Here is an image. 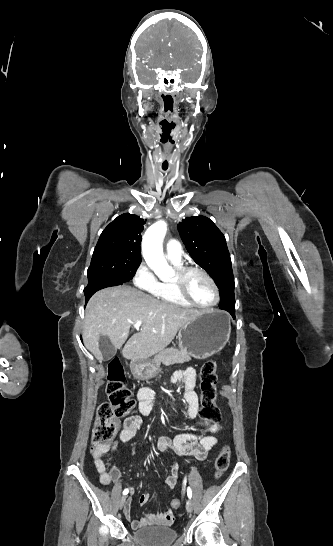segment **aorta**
Masks as SVG:
<instances>
[{
    "mask_svg": "<svg viewBox=\"0 0 333 546\" xmlns=\"http://www.w3.org/2000/svg\"><path fill=\"white\" fill-rule=\"evenodd\" d=\"M167 231V224L158 221L151 225L144 234L142 253L147 265L159 278H168L174 275V270L163 256L162 241Z\"/></svg>",
    "mask_w": 333,
    "mask_h": 546,
    "instance_id": "aorta-1",
    "label": "aorta"
}]
</instances>
